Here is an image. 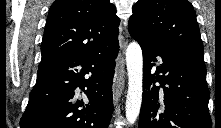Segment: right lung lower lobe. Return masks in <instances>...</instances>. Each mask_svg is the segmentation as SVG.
<instances>
[{
  "label": "right lung lower lobe",
  "mask_w": 221,
  "mask_h": 128,
  "mask_svg": "<svg viewBox=\"0 0 221 128\" xmlns=\"http://www.w3.org/2000/svg\"><path fill=\"white\" fill-rule=\"evenodd\" d=\"M118 51L116 41L91 54L67 56L39 68L20 127L108 128Z\"/></svg>",
  "instance_id": "right-lung-lower-lobe-1"
}]
</instances>
